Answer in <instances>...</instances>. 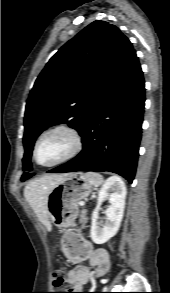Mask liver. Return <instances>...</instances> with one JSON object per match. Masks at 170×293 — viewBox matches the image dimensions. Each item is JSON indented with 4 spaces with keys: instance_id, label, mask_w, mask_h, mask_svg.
<instances>
[{
    "instance_id": "6515ba94",
    "label": "liver",
    "mask_w": 170,
    "mask_h": 293,
    "mask_svg": "<svg viewBox=\"0 0 170 293\" xmlns=\"http://www.w3.org/2000/svg\"><path fill=\"white\" fill-rule=\"evenodd\" d=\"M67 174H48L31 181L24 189V196L39 221L51 230L48 211V196L52 188Z\"/></svg>"
}]
</instances>
